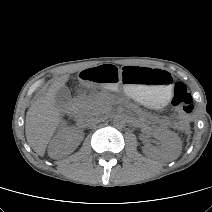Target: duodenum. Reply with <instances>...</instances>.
<instances>
[{
    "label": "duodenum",
    "instance_id": "obj_1",
    "mask_svg": "<svg viewBox=\"0 0 212 212\" xmlns=\"http://www.w3.org/2000/svg\"><path fill=\"white\" fill-rule=\"evenodd\" d=\"M67 112L71 115H74L76 113V107L74 104H69L67 106Z\"/></svg>",
    "mask_w": 212,
    "mask_h": 212
}]
</instances>
